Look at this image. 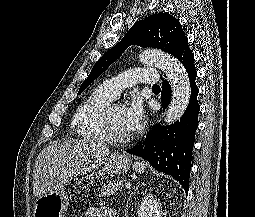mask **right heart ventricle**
Segmentation results:
<instances>
[{
    "instance_id": "obj_1",
    "label": "right heart ventricle",
    "mask_w": 255,
    "mask_h": 217,
    "mask_svg": "<svg viewBox=\"0 0 255 217\" xmlns=\"http://www.w3.org/2000/svg\"><path fill=\"white\" fill-rule=\"evenodd\" d=\"M113 99L114 97L100 85L77 107L71 126L79 137L94 141L105 140L101 130L100 115Z\"/></svg>"
}]
</instances>
